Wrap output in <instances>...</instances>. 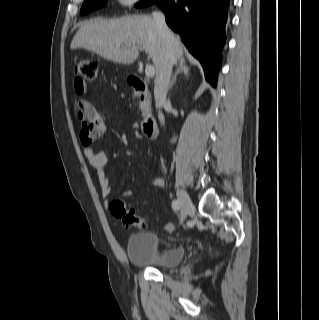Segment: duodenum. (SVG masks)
<instances>
[{
  "label": "duodenum",
  "mask_w": 319,
  "mask_h": 320,
  "mask_svg": "<svg viewBox=\"0 0 319 320\" xmlns=\"http://www.w3.org/2000/svg\"><path fill=\"white\" fill-rule=\"evenodd\" d=\"M130 84L133 89L139 94L142 100H146L148 88L146 83L138 76H130ZM142 129L148 139H155L157 137V125L156 123L148 117L146 114L145 120L142 123Z\"/></svg>",
  "instance_id": "obj_1"
}]
</instances>
